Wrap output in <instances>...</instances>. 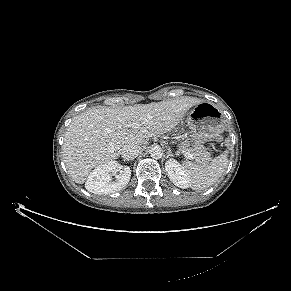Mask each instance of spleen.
Returning a JSON list of instances; mask_svg holds the SVG:
<instances>
[{"label":"spleen","instance_id":"spleen-1","mask_svg":"<svg viewBox=\"0 0 291 291\" xmlns=\"http://www.w3.org/2000/svg\"><path fill=\"white\" fill-rule=\"evenodd\" d=\"M226 155L215 157L208 166H199L186 161L184 168L190 176V186L194 190H203L212 186L228 167Z\"/></svg>","mask_w":291,"mask_h":291}]
</instances>
